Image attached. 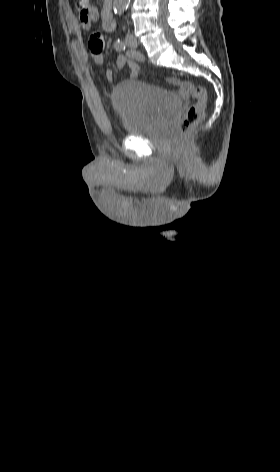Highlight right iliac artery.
Returning a JSON list of instances; mask_svg holds the SVG:
<instances>
[{
  "label": "right iliac artery",
  "mask_w": 280,
  "mask_h": 472,
  "mask_svg": "<svg viewBox=\"0 0 280 472\" xmlns=\"http://www.w3.org/2000/svg\"><path fill=\"white\" fill-rule=\"evenodd\" d=\"M126 55L131 58V59H134V60H137V61H140V62H143L145 59H144V56L138 52V51H135V50H128L126 52Z\"/></svg>",
  "instance_id": "obj_1"
}]
</instances>
